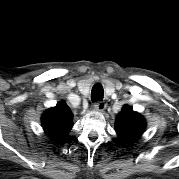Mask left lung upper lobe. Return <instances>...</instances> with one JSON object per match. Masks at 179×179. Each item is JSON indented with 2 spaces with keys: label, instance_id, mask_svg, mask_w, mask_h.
Segmentation results:
<instances>
[{
  "label": "left lung upper lobe",
  "instance_id": "obj_1",
  "mask_svg": "<svg viewBox=\"0 0 179 179\" xmlns=\"http://www.w3.org/2000/svg\"><path fill=\"white\" fill-rule=\"evenodd\" d=\"M117 135L125 142L139 138L145 131V119L133 108L125 105L115 122Z\"/></svg>",
  "mask_w": 179,
  "mask_h": 179
}]
</instances>
